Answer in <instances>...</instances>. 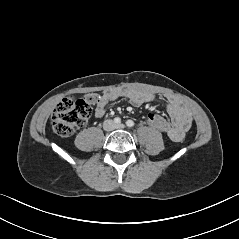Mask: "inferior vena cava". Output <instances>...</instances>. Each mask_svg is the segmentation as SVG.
<instances>
[{"mask_svg":"<svg viewBox=\"0 0 239 239\" xmlns=\"http://www.w3.org/2000/svg\"><path fill=\"white\" fill-rule=\"evenodd\" d=\"M116 125L112 120H105L104 124H103V128L106 131H111L113 129H115Z\"/></svg>","mask_w":239,"mask_h":239,"instance_id":"602c4592","label":"inferior vena cava"}]
</instances>
